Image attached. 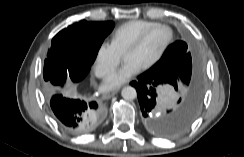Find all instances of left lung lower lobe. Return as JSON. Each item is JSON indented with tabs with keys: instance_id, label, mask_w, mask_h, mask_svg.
<instances>
[{
	"instance_id": "0a47b994",
	"label": "left lung lower lobe",
	"mask_w": 244,
	"mask_h": 157,
	"mask_svg": "<svg viewBox=\"0 0 244 157\" xmlns=\"http://www.w3.org/2000/svg\"><path fill=\"white\" fill-rule=\"evenodd\" d=\"M166 84L163 76L148 71L142 73L137 81L131 82L137 91L146 129L157 136L169 138L184 133L197 117L202 102L203 82L175 105H166L167 109L164 110L161 94Z\"/></svg>"
}]
</instances>
